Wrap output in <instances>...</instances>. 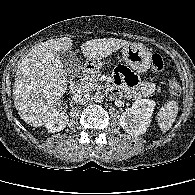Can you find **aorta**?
Returning <instances> with one entry per match:
<instances>
[{
	"label": "aorta",
	"mask_w": 195,
	"mask_h": 195,
	"mask_svg": "<svg viewBox=\"0 0 195 195\" xmlns=\"http://www.w3.org/2000/svg\"><path fill=\"white\" fill-rule=\"evenodd\" d=\"M103 99H104V95H103V93H101V92H97V93L94 95V101H95V102L100 103V102L103 101Z\"/></svg>",
	"instance_id": "aorta-1"
}]
</instances>
